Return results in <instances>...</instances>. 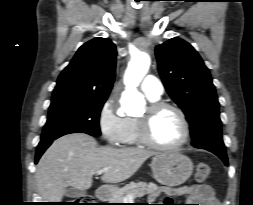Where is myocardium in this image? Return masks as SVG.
I'll return each instance as SVG.
<instances>
[{
	"label": "myocardium",
	"instance_id": "myocardium-1",
	"mask_svg": "<svg viewBox=\"0 0 253 205\" xmlns=\"http://www.w3.org/2000/svg\"><path fill=\"white\" fill-rule=\"evenodd\" d=\"M164 110H172L175 113H177L184 126V136L182 140L175 145H170V146L161 145L157 143L152 136L153 120L159 113H161ZM137 123H138L139 138L141 142L152 149H156L160 151L177 150L183 147L190 139L191 129H190L189 120L185 112L180 107L172 103H168L164 101H157V102L151 103L147 107L145 114L137 118Z\"/></svg>",
	"mask_w": 253,
	"mask_h": 205
}]
</instances>
